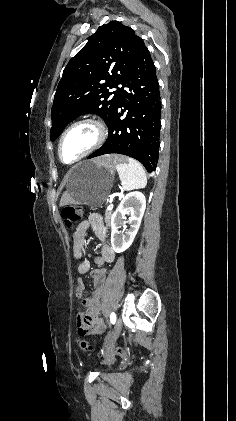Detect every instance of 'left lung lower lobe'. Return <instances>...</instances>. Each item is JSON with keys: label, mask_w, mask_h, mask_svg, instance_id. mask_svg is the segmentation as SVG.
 Returning a JSON list of instances; mask_svg holds the SVG:
<instances>
[{"label": "left lung lower lobe", "mask_w": 236, "mask_h": 421, "mask_svg": "<svg viewBox=\"0 0 236 421\" xmlns=\"http://www.w3.org/2000/svg\"><path fill=\"white\" fill-rule=\"evenodd\" d=\"M123 86L129 92L123 90L107 123L108 138L88 159L123 154L137 159L152 172L159 157L161 102L155 66L144 44L139 47Z\"/></svg>", "instance_id": "obj_1"}]
</instances>
